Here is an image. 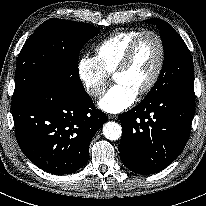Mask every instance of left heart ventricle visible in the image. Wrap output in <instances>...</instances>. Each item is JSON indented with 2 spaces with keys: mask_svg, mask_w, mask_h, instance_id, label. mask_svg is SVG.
<instances>
[{
  "mask_svg": "<svg viewBox=\"0 0 206 206\" xmlns=\"http://www.w3.org/2000/svg\"><path fill=\"white\" fill-rule=\"evenodd\" d=\"M158 59L159 46L157 40L151 35H146L140 40L127 70L117 74L114 81L117 84L129 87L137 94L151 79Z\"/></svg>",
  "mask_w": 206,
  "mask_h": 206,
  "instance_id": "b2bd125f",
  "label": "left heart ventricle"
}]
</instances>
